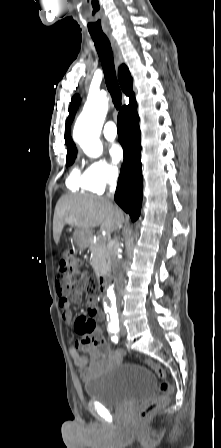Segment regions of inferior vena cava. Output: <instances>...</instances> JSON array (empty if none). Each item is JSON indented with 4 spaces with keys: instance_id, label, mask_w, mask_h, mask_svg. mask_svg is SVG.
Wrapping results in <instances>:
<instances>
[{
    "instance_id": "602c4592",
    "label": "inferior vena cava",
    "mask_w": 221,
    "mask_h": 448,
    "mask_svg": "<svg viewBox=\"0 0 221 448\" xmlns=\"http://www.w3.org/2000/svg\"><path fill=\"white\" fill-rule=\"evenodd\" d=\"M116 180H117V173L116 172H112L110 177H109V184H110V191L109 193H107V198L108 199H113L114 197V191L116 188ZM119 243L117 241V239L115 238V243L114 246L111 250V261H112V267L113 270L115 271V273H117V289L119 290L123 284V272H122V267H121V263L120 260L118 258V254H119ZM118 307H120V298L118 296Z\"/></svg>"
}]
</instances>
